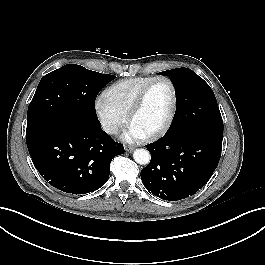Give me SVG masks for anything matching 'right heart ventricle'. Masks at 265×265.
I'll use <instances>...</instances> for the list:
<instances>
[{"label":"right heart ventricle","instance_id":"1","mask_svg":"<svg viewBox=\"0 0 265 265\" xmlns=\"http://www.w3.org/2000/svg\"><path fill=\"white\" fill-rule=\"evenodd\" d=\"M153 77L139 76L119 80L105 90L103 98L117 111L128 116L137 95Z\"/></svg>","mask_w":265,"mask_h":265}]
</instances>
